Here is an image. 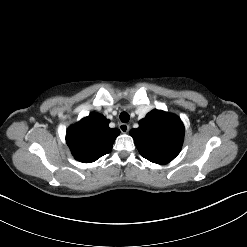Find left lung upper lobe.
<instances>
[{
  "mask_svg": "<svg viewBox=\"0 0 247 247\" xmlns=\"http://www.w3.org/2000/svg\"><path fill=\"white\" fill-rule=\"evenodd\" d=\"M139 153L147 160L157 164H167L180 152L184 125L180 118L161 110H153L132 129Z\"/></svg>",
  "mask_w": 247,
  "mask_h": 247,
  "instance_id": "5c2ea615",
  "label": "left lung upper lobe"
}]
</instances>
